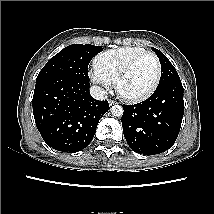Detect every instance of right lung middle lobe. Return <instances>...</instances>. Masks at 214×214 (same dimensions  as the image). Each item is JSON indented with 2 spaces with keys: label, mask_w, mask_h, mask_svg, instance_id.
<instances>
[{
  "label": "right lung middle lobe",
  "mask_w": 214,
  "mask_h": 214,
  "mask_svg": "<svg viewBox=\"0 0 214 214\" xmlns=\"http://www.w3.org/2000/svg\"><path fill=\"white\" fill-rule=\"evenodd\" d=\"M103 48L94 45L72 44L53 56L42 68L36 82L48 77L64 76L89 82L88 65Z\"/></svg>",
  "instance_id": "right-lung-middle-lobe-1"
}]
</instances>
